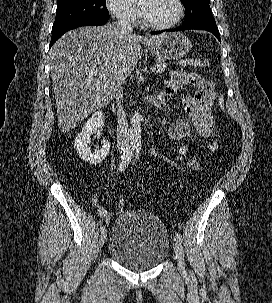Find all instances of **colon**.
Segmentation results:
<instances>
[{
    "label": "colon",
    "instance_id": "obj_1",
    "mask_svg": "<svg viewBox=\"0 0 272 303\" xmlns=\"http://www.w3.org/2000/svg\"><path fill=\"white\" fill-rule=\"evenodd\" d=\"M208 65V61L206 59L201 58H193V57H184L176 62V66L179 69H186V68H200L205 67ZM218 106L221 111H224V97L220 95L218 98ZM124 207V201L121 199L119 200V208L122 209Z\"/></svg>",
    "mask_w": 272,
    "mask_h": 303
}]
</instances>
